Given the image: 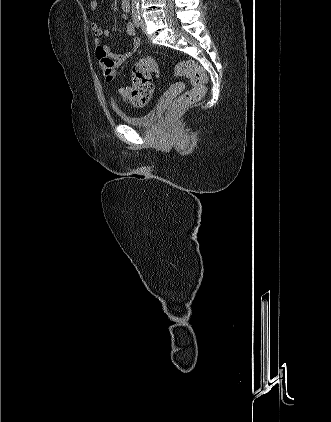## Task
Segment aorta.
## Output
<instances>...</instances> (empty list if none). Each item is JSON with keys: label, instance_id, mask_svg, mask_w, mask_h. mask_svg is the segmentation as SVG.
<instances>
[{"label": "aorta", "instance_id": "1", "mask_svg": "<svg viewBox=\"0 0 331 422\" xmlns=\"http://www.w3.org/2000/svg\"><path fill=\"white\" fill-rule=\"evenodd\" d=\"M132 11L139 9V0H131Z\"/></svg>", "mask_w": 331, "mask_h": 422}]
</instances>
